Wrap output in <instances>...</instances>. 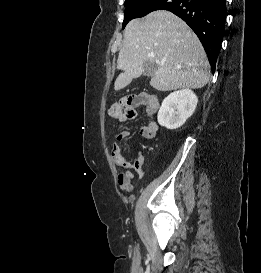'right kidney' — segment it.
<instances>
[{
	"label": "right kidney",
	"instance_id": "obj_1",
	"mask_svg": "<svg viewBox=\"0 0 261 273\" xmlns=\"http://www.w3.org/2000/svg\"><path fill=\"white\" fill-rule=\"evenodd\" d=\"M198 98L190 89L174 91L162 102L158 123L169 130L178 129L194 113Z\"/></svg>",
	"mask_w": 261,
	"mask_h": 273
}]
</instances>
